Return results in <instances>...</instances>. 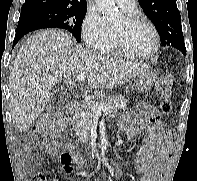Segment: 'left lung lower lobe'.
Listing matches in <instances>:
<instances>
[{
    "instance_id": "left-lung-lower-lobe-1",
    "label": "left lung lower lobe",
    "mask_w": 197,
    "mask_h": 181,
    "mask_svg": "<svg viewBox=\"0 0 197 181\" xmlns=\"http://www.w3.org/2000/svg\"><path fill=\"white\" fill-rule=\"evenodd\" d=\"M181 52H182L184 55H186V50H182Z\"/></svg>"
}]
</instances>
